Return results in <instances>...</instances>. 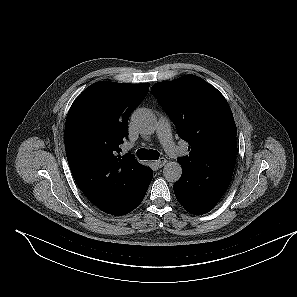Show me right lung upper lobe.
Returning a JSON list of instances; mask_svg holds the SVG:
<instances>
[{
	"label": "right lung upper lobe",
	"mask_w": 297,
	"mask_h": 297,
	"mask_svg": "<svg viewBox=\"0 0 297 297\" xmlns=\"http://www.w3.org/2000/svg\"><path fill=\"white\" fill-rule=\"evenodd\" d=\"M148 90V83L99 81L68 112L65 150L70 170L86 197L105 213L122 207L150 173L133 154H118L128 138V118Z\"/></svg>",
	"instance_id": "cb5924a9"
}]
</instances>
